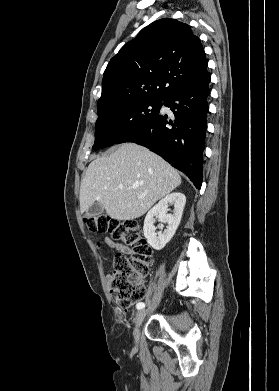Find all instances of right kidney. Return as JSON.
Here are the masks:
<instances>
[{
	"instance_id": "ca27d5eb",
	"label": "right kidney",
	"mask_w": 279,
	"mask_h": 391,
	"mask_svg": "<svg viewBox=\"0 0 279 391\" xmlns=\"http://www.w3.org/2000/svg\"><path fill=\"white\" fill-rule=\"evenodd\" d=\"M186 197L180 192H173L161 199L152 209H150L145 217L143 233L148 244L155 250H161L171 240L177 230L182 218ZM174 205L173 214H167L168 207ZM158 219L162 223H167L166 229L162 231L163 225H159L161 229L156 233L154 223Z\"/></svg>"
}]
</instances>
